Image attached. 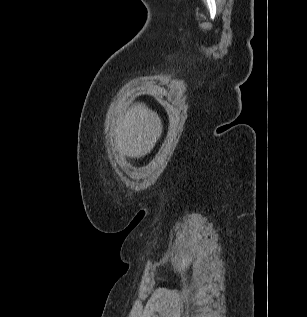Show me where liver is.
I'll list each match as a JSON object with an SVG mask.
<instances>
[{
    "mask_svg": "<svg viewBox=\"0 0 307 317\" xmlns=\"http://www.w3.org/2000/svg\"><path fill=\"white\" fill-rule=\"evenodd\" d=\"M158 114L144 103L133 105L115 125L116 150L120 155L140 158L150 153L162 134Z\"/></svg>",
    "mask_w": 307,
    "mask_h": 317,
    "instance_id": "1",
    "label": "liver"
}]
</instances>
